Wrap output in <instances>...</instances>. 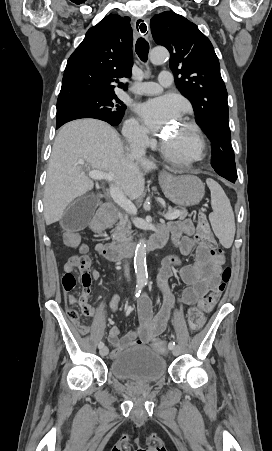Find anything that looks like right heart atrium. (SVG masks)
<instances>
[{
  "instance_id": "right-heart-atrium-1",
  "label": "right heart atrium",
  "mask_w": 272,
  "mask_h": 451,
  "mask_svg": "<svg viewBox=\"0 0 272 451\" xmlns=\"http://www.w3.org/2000/svg\"><path fill=\"white\" fill-rule=\"evenodd\" d=\"M126 131L130 139L140 140L145 137V130L135 118H131L126 123Z\"/></svg>"
}]
</instances>
